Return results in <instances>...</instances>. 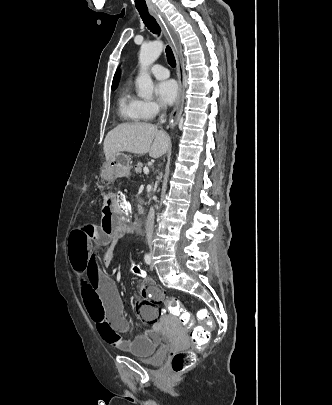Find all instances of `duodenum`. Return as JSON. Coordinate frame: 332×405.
Wrapping results in <instances>:
<instances>
[{
	"label": "duodenum",
	"mask_w": 332,
	"mask_h": 405,
	"mask_svg": "<svg viewBox=\"0 0 332 405\" xmlns=\"http://www.w3.org/2000/svg\"><path fill=\"white\" fill-rule=\"evenodd\" d=\"M136 226H137L136 223H134L133 225H130V226H129V230H130V231L134 230V229L136 228Z\"/></svg>",
	"instance_id": "duodenum-1"
}]
</instances>
